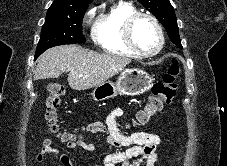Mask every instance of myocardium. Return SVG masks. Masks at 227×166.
Segmentation results:
<instances>
[{
	"label": "myocardium",
	"instance_id": "obj_1",
	"mask_svg": "<svg viewBox=\"0 0 227 166\" xmlns=\"http://www.w3.org/2000/svg\"><path fill=\"white\" fill-rule=\"evenodd\" d=\"M141 18L149 19L154 24V26L157 30L158 36H159L158 45H157L156 49L151 52L142 51L137 46V44L135 43V40H134L133 29H134V26L137 23V21ZM123 36H124L126 45L137 56L144 57V58L153 57V56H156L157 54H159L161 52V50L163 49V46L165 43L164 33H163V29H162L160 22L154 15H152L150 13H146V12H137L127 18V20L124 23V27H123Z\"/></svg>",
	"mask_w": 227,
	"mask_h": 166
}]
</instances>
